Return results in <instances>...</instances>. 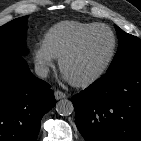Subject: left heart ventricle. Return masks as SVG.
Masks as SVG:
<instances>
[{"label":"left heart ventricle","instance_id":"1","mask_svg":"<svg viewBox=\"0 0 141 141\" xmlns=\"http://www.w3.org/2000/svg\"><path fill=\"white\" fill-rule=\"evenodd\" d=\"M112 46L110 33L103 28L91 32L78 51L65 64L68 79L80 80L97 71L108 57Z\"/></svg>","mask_w":141,"mask_h":141}]
</instances>
